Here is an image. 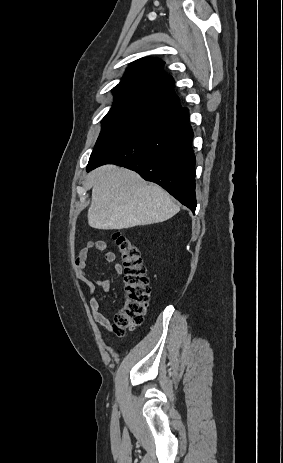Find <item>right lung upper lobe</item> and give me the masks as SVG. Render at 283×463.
I'll use <instances>...</instances> for the list:
<instances>
[{
  "label": "right lung upper lobe",
  "instance_id": "obj_1",
  "mask_svg": "<svg viewBox=\"0 0 283 463\" xmlns=\"http://www.w3.org/2000/svg\"><path fill=\"white\" fill-rule=\"evenodd\" d=\"M164 62L155 58H141L126 70L121 82L114 87L115 96L157 109L165 114L180 107L173 92L174 80L164 73Z\"/></svg>",
  "mask_w": 283,
  "mask_h": 463
}]
</instances>
